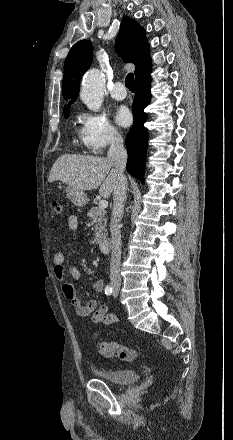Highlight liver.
<instances>
[{"mask_svg":"<svg viewBox=\"0 0 233 440\" xmlns=\"http://www.w3.org/2000/svg\"><path fill=\"white\" fill-rule=\"evenodd\" d=\"M112 167V163L106 157L65 154L55 161L48 181L52 183L60 180L81 191L100 187V195L109 197L117 180Z\"/></svg>","mask_w":233,"mask_h":440,"instance_id":"1","label":"liver"}]
</instances>
